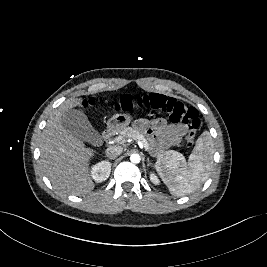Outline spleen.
I'll list each match as a JSON object with an SVG mask.
<instances>
[{
	"mask_svg": "<svg viewBox=\"0 0 267 267\" xmlns=\"http://www.w3.org/2000/svg\"><path fill=\"white\" fill-rule=\"evenodd\" d=\"M213 140L204 131L196 141L188 163L182 154L176 152L170 159H161L156 170L171 194L181 197L195 192L209 177L213 164Z\"/></svg>",
	"mask_w": 267,
	"mask_h": 267,
	"instance_id": "obj_1",
	"label": "spleen"
}]
</instances>
